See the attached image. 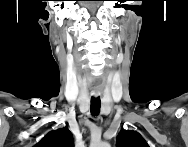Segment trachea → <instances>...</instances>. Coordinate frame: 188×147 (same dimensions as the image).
I'll use <instances>...</instances> for the list:
<instances>
[{
    "label": "trachea",
    "instance_id": "obj_1",
    "mask_svg": "<svg viewBox=\"0 0 188 147\" xmlns=\"http://www.w3.org/2000/svg\"><path fill=\"white\" fill-rule=\"evenodd\" d=\"M100 107H101L100 97H92L90 111L93 116H97L99 114Z\"/></svg>",
    "mask_w": 188,
    "mask_h": 147
}]
</instances>
